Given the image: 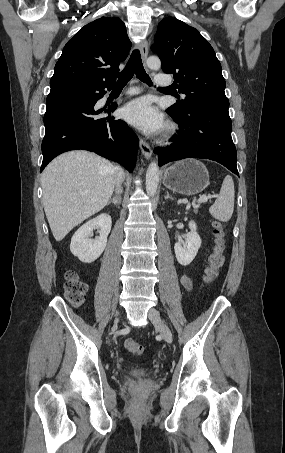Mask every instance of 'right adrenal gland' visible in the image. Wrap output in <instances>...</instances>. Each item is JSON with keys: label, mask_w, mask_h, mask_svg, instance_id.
<instances>
[{"label": "right adrenal gland", "mask_w": 285, "mask_h": 453, "mask_svg": "<svg viewBox=\"0 0 285 453\" xmlns=\"http://www.w3.org/2000/svg\"><path fill=\"white\" fill-rule=\"evenodd\" d=\"M114 204L115 206H118L120 203H121V196L120 194H117L116 196H114L111 200H109V202L107 203V205H110V204Z\"/></svg>", "instance_id": "1"}]
</instances>
